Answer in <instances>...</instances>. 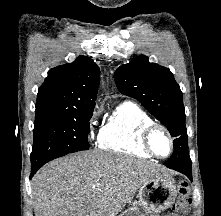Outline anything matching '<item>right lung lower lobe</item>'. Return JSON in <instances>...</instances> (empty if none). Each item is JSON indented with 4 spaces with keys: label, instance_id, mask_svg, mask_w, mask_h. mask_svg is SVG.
Segmentation results:
<instances>
[{
    "label": "right lung lower lobe",
    "instance_id": "1",
    "mask_svg": "<svg viewBox=\"0 0 221 216\" xmlns=\"http://www.w3.org/2000/svg\"><path fill=\"white\" fill-rule=\"evenodd\" d=\"M41 166H42V165L31 166V175H30V178H32V176L36 173V171H37Z\"/></svg>",
    "mask_w": 221,
    "mask_h": 216
}]
</instances>
